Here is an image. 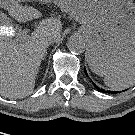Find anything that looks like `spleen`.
<instances>
[{
    "mask_svg": "<svg viewBox=\"0 0 135 135\" xmlns=\"http://www.w3.org/2000/svg\"><path fill=\"white\" fill-rule=\"evenodd\" d=\"M104 83L112 90H124L135 84V66L132 65L125 71L104 76Z\"/></svg>",
    "mask_w": 135,
    "mask_h": 135,
    "instance_id": "3e777b00",
    "label": "spleen"
}]
</instances>
